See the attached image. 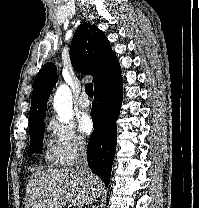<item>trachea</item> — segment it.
Segmentation results:
<instances>
[{
    "label": "trachea",
    "instance_id": "obj_1",
    "mask_svg": "<svg viewBox=\"0 0 199 208\" xmlns=\"http://www.w3.org/2000/svg\"><path fill=\"white\" fill-rule=\"evenodd\" d=\"M85 91L90 98H93V84L87 83L85 85Z\"/></svg>",
    "mask_w": 199,
    "mask_h": 208
}]
</instances>
